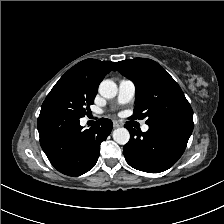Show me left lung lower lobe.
Wrapping results in <instances>:
<instances>
[{"label":"left lung lower lobe","instance_id":"1","mask_svg":"<svg viewBox=\"0 0 224 224\" xmlns=\"http://www.w3.org/2000/svg\"><path fill=\"white\" fill-rule=\"evenodd\" d=\"M125 127L131 135L123 148L127 163L140 171L159 173L169 169L181 157L194 124H149V130L144 133L127 125Z\"/></svg>","mask_w":224,"mask_h":224}]
</instances>
